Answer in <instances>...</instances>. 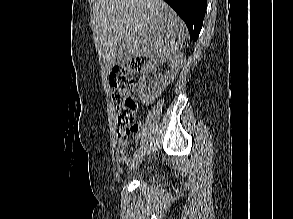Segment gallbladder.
<instances>
[{
    "label": "gallbladder",
    "instance_id": "obj_1",
    "mask_svg": "<svg viewBox=\"0 0 293 219\" xmlns=\"http://www.w3.org/2000/svg\"><path fill=\"white\" fill-rule=\"evenodd\" d=\"M115 64L118 66H123L128 63L131 59V53L129 50V45L126 40H120L116 50H115Z\"/></svg>",
    "mask_w": 293,
    "mask_h": 219
}]
</instances>
